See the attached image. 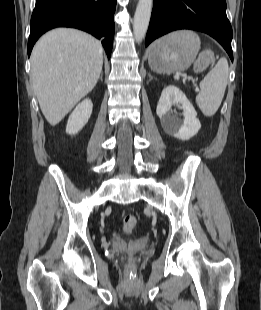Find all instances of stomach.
<instances>
[{"mask_svg": "<svg viewBox=\"0 0 261 310\" xmlns=\"http://www.w3.org/2000/svg\"><path fill=\"white\" fill-rule=\"evenodd\" d=\"M200 39L192 31H176L156 42L148 50L150 68L156 73L185 71L194 62Z\"/></svg>", "mask_w": 261, "mask_h": 310, "instance_id": "stomach-1", "label": "stomach"}]
</instances>
